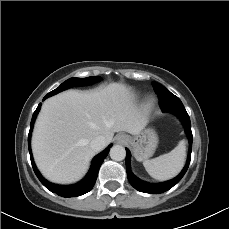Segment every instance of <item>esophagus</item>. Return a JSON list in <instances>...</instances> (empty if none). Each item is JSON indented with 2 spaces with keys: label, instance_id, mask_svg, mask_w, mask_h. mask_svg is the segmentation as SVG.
<instances>
[{
  "label": "esophagus",
  "instance_id": "1",
  "mask_svg": "<svg viewBox=\"0 0 229 229\" xmlns=\"http://www.w3.org/2000/svg\"><path fill=\"white\" fill-rule=\"evenodd\" d=\"M116 141L118 143H124L128 141V136L125 134H119L118 136H116Z\"/></svg>",
  "mask_w": 229,
  "mask_h": 229
}]
</instances>
